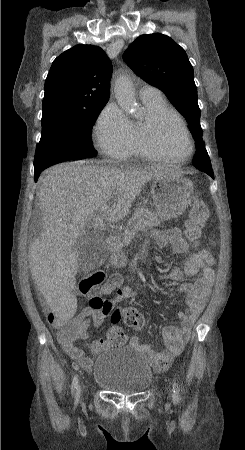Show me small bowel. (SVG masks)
I'll use <instances>...</instances> for the list:
<instances>
[{"label":"small bowel","mask_w":245,"mask_h":450,"mask_svg":"<svg viewBox=\"0 0 245 450\" xmlns=\"http://www.w3.org/2000/svg\"><path fill=\"white\" fill-rule=\"evenodd\" d=\"M150 240L161 248L170 244L176 255H182L188 249L187 242L184 240L181 232L176 228L166 232L154 231L150 236ZM183 269L184 272L190 276L198 273L200 276L195 282H186L177 288L178 292L186 295L188 307L185 311H181L177 314L178 319L181 321L180 327L163 328L162 338L164 349L153 350L149 342L141 341L137 335L130 336L128 340V346L137 349L144 355L151 367L157 372H163L168 369L172 361L183 351L184 346L189 340L192 327L204 309L215 280V271L210 264L202 260L201 253H193L188 259L184 260ZM182 276L183 271L174 267L161 273L159 278L162 280H179ZM113 292L115 294L114 297L107 300V304L110 307L114 303L123 302L139 295V293L130 286H123L120 278L117 281ZM86 295L89 298H93V294L90 292H87ZM108 315V312L96 310L90 306L75 316L72 321L83 323L87 333L89 329L99 327ZM108 333L105 337L92 341L91 349L94 354L105 352L115 345L110 340ZM58 339L66 353L73 360L77 361L81 367L85 369L91 368L92 359L86 356L85 353L75 345V340L64 341L60 335H58Z\"/></svg>","instance_id":"1"}]
</instances>
